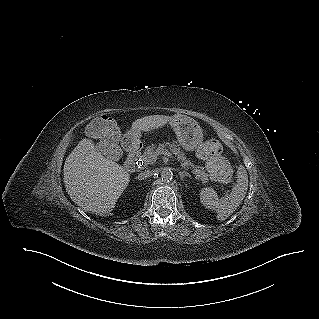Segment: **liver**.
<instances>
[{
  "mask_svg": "<svg viewBox=\"0 0 319 319\" xmlns=\"http://www.w3.org/2000/svg\"><path fill=\"white\" fill-rule=\"evenodd\" d=\"M172 117L153 115L137 119L131 130L151 131L170 123ZM130 181L129 173L97 151L91 139H82L64 164V183L71 200L83 210L100 214L113 210Z\"/></svg>",
  "mask_w": 319,
  "mask_h": 319,
  "instance_id": "1",
  "label": "liver"
}]
</instances>
